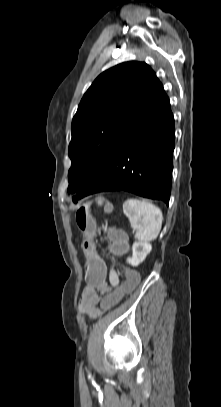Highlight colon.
I'll list each match as a JSON object with an SVG mask.
<instances>
[{
  "mask_svg": "<svg viewBox=\"0 0 221 407\" xmlns=\"http://www.w3.org/2000/svg\"><path fill=\"white\" fill-rule=\"evenodd\" d=\"M99 204H103V200H98ZM91 204H83L76 212V222L79 230L83 233L84 239L82 249L86 256L85 261V284L89 286L92 292L98 289V286H106L108 283L107 277L109 270L107 268L105 258H102L100 252L96 251L95 234L96 223L90 212ZM107 210L111 209L110 204H105ZM110 250L114 254H121L127 248L126 235L119 230L111 229L109 231ZM127 271L126 280L124 283L116 285L114 289H109L99 302L103 313H110L112 308H116L125 300V295H130L131 291H136L140 283L139 272L132 265L123 268Z\"/></svg>",
  "mask_w": 221,
  "mask_h": 407,
  "instance_id": "1",
  "label": "colon"
}]
</instances>
